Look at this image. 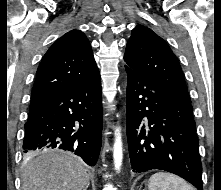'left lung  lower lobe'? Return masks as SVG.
<instances>
[{
    "mask_svg": "<svg viewBox=\"0 0 221 190\" xmlns=\"http://www.w3.org/2000/svg\"><path fill=\"white\" fill-rule=\"evenodd\" d=\"M126 67V131L133 172L159 169L202 188L191 103L149 75Z\"/></svg>",
    "mask_w": 221,
    "mask_h": 190,
    "instance_id": "left-lung-lower-lobe-1",
    "label": "left lung lower lobe"
}]
</instances>
